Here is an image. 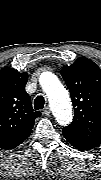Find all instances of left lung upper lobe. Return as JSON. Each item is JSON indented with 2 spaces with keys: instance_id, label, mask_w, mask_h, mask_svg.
<instances>
[{
  "instance_id": "left-lung-upper-lobe-1",
  "label": "left lung upper lobe",
  "mask_w": 101,
  "mask_h": 180,
  "mask_svg": "<svg viewBox=\"0 0 101 180\" xmlns=\"http://www.w3.org/2000/svg\"><path fill=\"white\" fill-rule=\"evenodd\" d=\"M61 75L71 93L75 115L63 133L96 145L101 142V69L90 59L80 57L64 66Z\"/></svg>"
}]
</instances>
